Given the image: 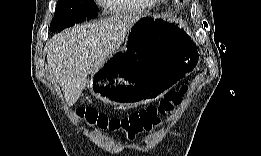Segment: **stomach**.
<instances>
[{
    "label": "stomach",
    "instance_id": "stomach-1",
    "mask_svg": "<svg viewBox=\"0 0 261 156\" xmlns=\"http://www.w3.org/2000/svg\"><path fill=\"white\" fill-rule=\"evenodd\" d=\"M160 40V41H159ZM162 44L160 54L143 62L138 68L121 63L113 65L108 74L92 77V94L105 103L137 106L161 98L198 62L189 32L178 21L169 17H143L127 34L124 47L115 55L119 62L139 48L152 43Z\"/></svg>",
    "mask_w": 261,
    "mask_h": 156
}]
</instances>
